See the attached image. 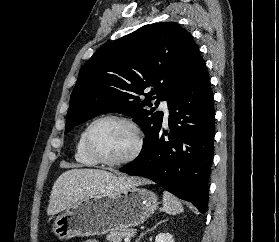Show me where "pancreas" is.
Wrapping results in <instances>:
<instances>
[{
  "mask_svg": "<svg viewBox=\"0 0 279 242\" xmlns=\"http://www.w3.org/2000/svg\"><path fill=\"white\" fill-rule=\"evenodd\" d=\"M134 233V229L112 230L110 234L106 236V240L108 242H122L124 238L132 237Z\"/></svg>",
  "mask_w": 279,
  "mask_h": 242,
  "instance_id": "obj_1",
  "label": "pancreas"
}]
</instances>
